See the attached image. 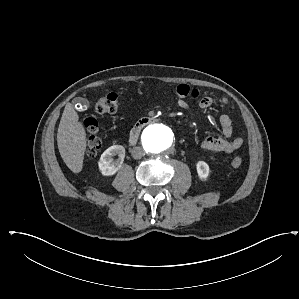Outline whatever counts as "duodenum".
<instances>
[{
	"mask_svg": "<svg viewBox=\"0 0 299 299\" xmlns=\"http://www.w3.org/2000/svg\"><path fill=\"white\" fill-rule=\"evenodd\" d=\"M157 118L154 116H146L140 118L132 127L129 134V143L134 144L141 132V130L150 123L156 122Z\"/></svg>",
	"mask_w": 299,
	"mask_h": 299,
	"instance_id": "obj_1",
	"label": "duodenum"
}]
</instances>
